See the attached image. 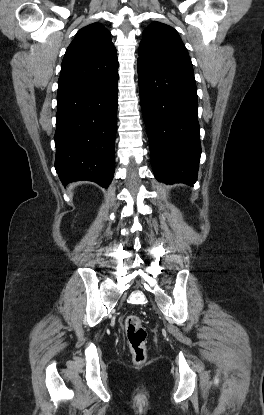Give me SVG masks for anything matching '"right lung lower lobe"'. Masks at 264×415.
<instances>
[{
    "label": "right lung lower lobe",
    "instance_id": "98d812e1",
    "mask_svg": "<svg viewBox=\"0 0 264 415\" xmlns=\"http://www.w3.org/2000/svg\"><path fill=\"white\" fill-rule=\"evenodd\" d=\"M118 77L58 90L55 169L62 182L111 183Z\"/></svg>",
    "mask_w": 264,
    "mask_h": 415
}]
</instances>
